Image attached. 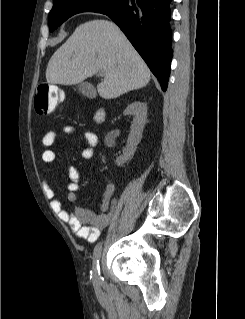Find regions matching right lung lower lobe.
Listing matches in <instances>:
<instances>
[{
  "instance_id": "obj_1",
  "label": "right lung lower lobe",
  "mask_w": 245,
  "mask_h": 319,
  "mask_svg": "<svg viewBox=\"0 0 245 319\" xmlns=\"http://www.w3.org/2000/svg\"><path fill=\"white\" fill-rule=\"evenodd\" d=\"M171 0H123L107 12L125 33L166 91L172 60L169 27Z\"/></svg>"
}]
</instances>
